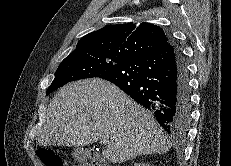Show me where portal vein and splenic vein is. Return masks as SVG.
<instances>
[{
	"mask_svg": "<svg viewBox=\"0 0 231 166\" xmlns=\"http://www.w3.org/2000/svg\"><path fill=\"white\" fill-rule=\"evenodd\" d=\"M102 142H103V144H105V145L109 144V140H108V139H102Z\"/></svg>",
	"mask_w": 231,
	"mask_h": 166,
	"instance_id": "18ae733b",
	"label": "portal vein and splenic vein"
}]
</instances>
